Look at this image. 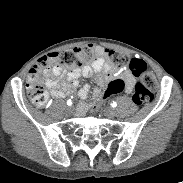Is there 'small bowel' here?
<instances>
[{"mask_svg": "<svg viewBox=\"0 0 183 183\" xmlns=\"http://www.w3.org/2000/svg\"><path fill=\"white\" fill-rule=\"evenodd\" d=\"M45 73H51L52 75L61 78V80H55L52 78L47 80V85L52 89V95L55 97H64L71 94L79 87L80 77L86 78L93 75H95V81L100 87H108L110 80L117 77L125 79L127 93H131L135 85V77L132 71H125L120 76H117L103 55L97 57L90 65L77 67L69 71L54 65L51 69L46 70ZM89 89L90 87L88 84H84L80 87L78 94L81 100L86 98Z\"/></svg>", "mask_w": 183, "mask_h": 183, "instance_id": "obj_1", "label": "small bowel"}]
</instances>
